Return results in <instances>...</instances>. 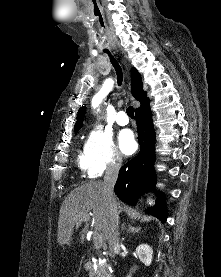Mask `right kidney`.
Listing matches in <instances>:
<instances>
[{"instance_id": "1", "label": "right kidney", "mask_w": 221, "mask_h": 277, "mask_svg": "<svg viewBox=\"0 0 221 277\" xmlns=\"http://www.w3.org/2000/svg\"><path fill=\"white\" fill-rule=\"evenodd\" d=\"M136 254L139 257L140 261L146 266H149L152 262L153 250L147 244H140L136 248ZM127 277H131L128 275Z\"/></svg>"}]
</instances>
